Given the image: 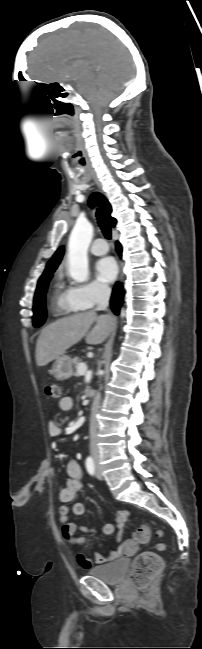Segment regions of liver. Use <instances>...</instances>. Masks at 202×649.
Masks as SVG:
<instances>
[{"label": "liver", "instance_id": "obj_1", "mask_svg": "<svg viewBox=\"0 0 202 649\" xmlns=\"http://www.w3.org/2000/svg\"><path fill=\"white\" fill-rule=\"evenodd\" d=\"M96 325L90 332L91 325ZM115 325L113 315L97 316L94 311L65 317L45 327L36 344V363L42 367L63 356L67 349L86 336L88 344H101Z\"/></svg>", "mask_w": 202, "mask_h": 649}]
</instances>
